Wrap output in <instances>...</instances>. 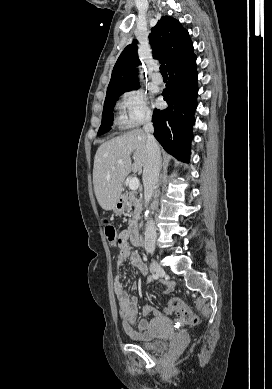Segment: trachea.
<instances>
[{
    "instance_id": "trachea-1",
    "label": "trachea",
    "mask_w": 272,
    "mask_h": 389,
    "mask_svg": "<svg viewBox=\"0 0 272 389\" xmlns=\"http://www.w3.org/2000/svg\"><path fill=\"white\" fill-rule=\"evenodd\" d=\"M160 73L162 75L167 76V69H166V66L164 64H161V66H160Z\"/></svg>"
}]
</instances>
